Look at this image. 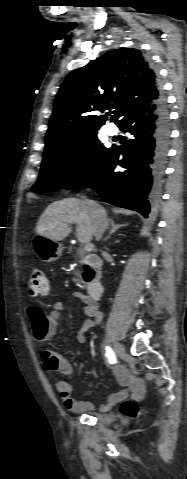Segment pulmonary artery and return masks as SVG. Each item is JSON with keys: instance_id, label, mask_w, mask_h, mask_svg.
Returning a JSON list of instances; mask_svg holds the SVG:
<instances>
[{"instance_id": "1", "label": "pulmonary artery", "mask_w": 187, "mask_h": 479, "mask_svg": "<svg viewBox=\"0 0 187 479\" xmlns=\"http://www.w3.org/2000/svg\"><path fill=\"white\" fill-rule=\"evenodd\" d=\"M117 132H118V130H117V128H116L114 125H109V126L107 127V133H108L109 135L114 136V135L117 134Z\"/></svg>"}]
</instances>
